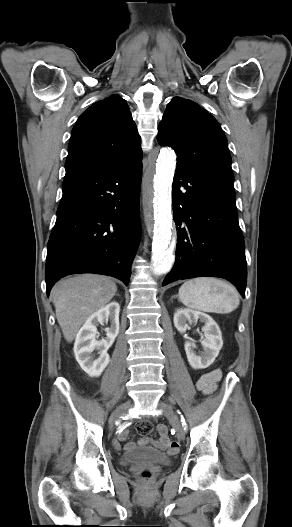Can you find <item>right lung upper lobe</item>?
<instances>
[{
    "instance_id": "1",
    "label": "right lung upper lobe",
    "mask_w": 292,
    "mask_h": 527,
    "mask_svg": "<svg viewBox=\"0 0 292 527\" xmlns=\"http://www.w3.org/2000/svg\"><path fill=\"white\" fill-rule=\"evenodd\" d=\"M142 156L140 136L126 101L118 95L98 101L73 127L66 172L106 169Z\"/></svg>"
}]
</instances>
